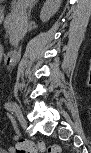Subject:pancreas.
Returning <instances> with one entry per match:
<instances>
[{
  "instance_id": "obj_1",
  "label": "pancreas",
  "mask_w": 91,
  "mask_h": 153,
  "mask_svg": "<svg viewBox=\"0 0 91 153\" xmlns=\"http://www.w3.org/2000/svg\"><path fill=\"white\" fill-rule=\"evenodd\" d=\"M4 27L7 29V32L10 36L11 45H17L19 39L22 36V17L14 9L6 17L4 21Z\"/></svg>"
}]
</instances>
